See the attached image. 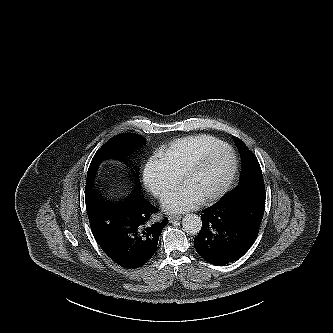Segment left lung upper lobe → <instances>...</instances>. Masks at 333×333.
I'll use <instances>...</instances> for the list:
<instances>
[{
	"label": "left lung upper lobe",
	"mask_w": 333,
	"mask_h": 333,
	"mask_svg": "<svg viewBox=\"0 0 333 333\" xmlns=\"http://www.w3.org/2000/svg\"><path fill=\"white\" fill-rule=\"evenodd\" d=\"M233 139L237 144L240 155L242 156L240 182L236 188L263 182L261 167L256 156L239 138L233 136Z\"/></svg>",
	"instance_id": "5c2ea615"
}]
</instances>
